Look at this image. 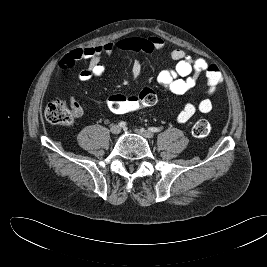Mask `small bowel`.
<instances>
[{"mask_svg": "<svg viewBox=\"0 0 267 267\" xmlns=\"http://www.w3.org/2000/svg\"><path fill=\"white\" fill-rule=\"evenodd\" d=\"M164 48L165 42L155 36L147 38L128 37L97 46L74 49L60 59L58 69L68 71L74 67L77 61L87 60L89 66L79 72L78 79L81 82H89L105 74L106 69L101 61L103 54L117 50L150 54L155 51H162ZM169 56L176 63L173 68L162 70L157 74L156 81L160 86L174 94L181 95L193 88L200 76H204L208 87V96L198 104L185 103L177 116V122L180 124L188 122L197 111L204 114L211 112L213 108L211 97L223 82L219 68L215 64L208 63L204 58L192 56L181 48L172 49ZM141 72V60L135 59L132 65V77L138 80ZM69 102L76 116H80L82 108L79 103L72 96L69 97Z\"/></svg>", "mask_w": 267, "mask_h": 267, "instance_id": "c3829d8e", "label": "small bowel"}]
</instances>
